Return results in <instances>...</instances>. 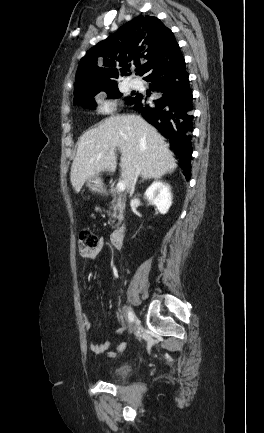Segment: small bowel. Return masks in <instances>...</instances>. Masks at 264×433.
I'll use <instances>...</instances> for the list:
<instances>
[{
    "label": "small bowel",
    "instance_id": "c3829d8e",
    "mask_svg": "<svg viewBox=\"0 0 264 433\" xmlns=\"http://www.w3.org/2000/svg\"><path fill=\"white\" fill-rule=\"evenodd\" d=\"M106 241L104 238L100 239L96 245V247L90 251H87L85 253H82V258L88 262L95 261L99 254L101 253L103 247L105 246ZM83 322L85 325L86 330H91L92 323L89 319V317L86 314H83ZM122 333V328L117 329L116 334L120 335ZM111 343L109 341L101 342V343H91L90 344V350L94 354H101L106 352L110 348ZM127 343L123 342L117 347V352H122L126 348ZM117 352H110L109 356H114Z\"/></svg>",
    "mask_w": 264,
    "mask_h": 433
}]
</instances>
